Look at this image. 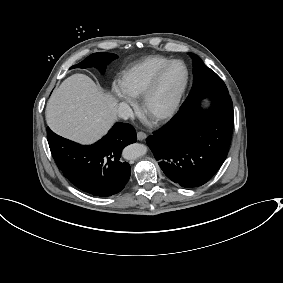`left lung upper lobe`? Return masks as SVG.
<instances>
[{
    "instance_id": "obj_1",
    "label": "left lung upper lobe",
    "mask_w": 283,
    "mask_h": 283,
    "mask_svg": "<svg viewBox=\"0 0 283 283\" xmlns=\"http://www.w3.org/2000/svg\"><path fill=\"white\" fill-rule=\"evenodd\" d=\"M193 60V87L180 109H186L206 97L215 95H229L222 79L211 69L204 65L195 54L189 53Z\"/></svg>"
}]
</instances>
